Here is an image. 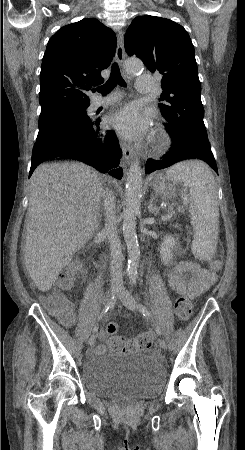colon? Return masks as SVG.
Segmentation results:
<instances>
[{
  "mask_svg": "<svg viewBox=\"0 0 245 450\" xmlns=\"http://www.w3.org/2000/svg\"><path fill=\"white\" fill-rule=\"evenodd\" d=\"M210 264L214 270H219L222 265V260L221 258H214L210 261ZM75 277L76 272L63 274L52 284L51 292L43 300L44 305L64 326H70L74 321L72 304L63 292L71 288ZM174 308L175 314L180 320H188L192 310V304L188 298L184 296L177 298ZM106 330L110 336L108 342L114 350L138 351L150 347L152 342V338L148 334H140L132 341L127 342L121 336L115 335V332L118 330V326L115 323H109Z\"/></svg>",
  "mask_w": 245,
  "mask_h": 450,
  "instance_id": "colon-1",
  "label": "colon"
}]
</instances>
